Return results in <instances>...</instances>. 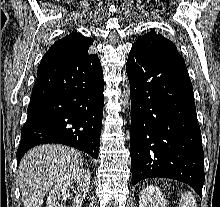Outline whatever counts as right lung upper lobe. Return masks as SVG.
I'll list each match as a JSON object with an SVG mask.
<instances>
[{
  "label": "right lung upper lobe",
  "instance_id": "cb5924a9",
  "mask_svg": "<svg viewBox=\"0 0 220 207\" xmlns=\"http://www.w3.org/2000/svg\"><path fill=\"white\" fill-rule=\"evenodd\" d=\"M92 44L91 38L72 32L56 41L46 52L41 63L63 62L87 56Z\"/></svg>",
  "mask_w": 220,
  "mask_h": 207
}]
</instances>
